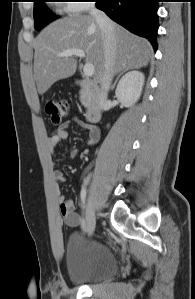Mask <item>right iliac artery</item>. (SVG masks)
<instances>
[{
  "label": "right iliac artery",
  "instance_id": "obj_1",
  "mask_svg": "<svg viewBox=\"0 0 195 299\" xmlns=\"http://www.w3.org/2000/svg\"><path fill=\"white\" fill-rule=\"evenodd\" d=\"M86 195H87V191H86V187L85 185L82 186V189H81V193H80V197H81V203H82V208L84 209V205H85V201H86ZM85 227V221L83 220V223H82V228Z\"/></svg>",
  "mask_w": 195,
  "mask_h": 299
}]
</instances>
